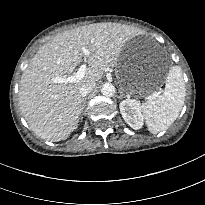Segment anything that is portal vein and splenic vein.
I'll use <instances>...</instances> for the list:
<instances>
[{"mask_svg": "<svg viewBox=\"0 0 205 205\" xmlns=\"http://www.w3.org/2000/svg\"><path fill=\"white\" fill-rule=\"evenodd\" d=\"M82 52L86 57L90 55V51L86 47L82 48ZM86 70H87L86 64H82L74 75H71V76L66 77V78H64V77H54L52 79V81L55 82V83L77 82V81L84 78Z\"/></svg>", "mask_w": 205, "mask_h": 205, "instance_id": "1", "label": "portal vein and splenic vein"}]
</instances>
